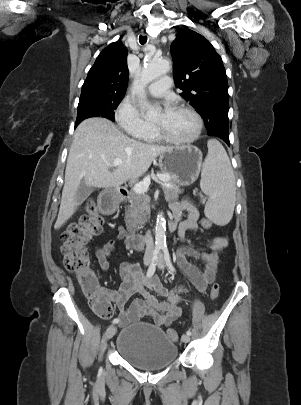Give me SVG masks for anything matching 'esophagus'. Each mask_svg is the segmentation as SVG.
<instances>
[{
  "label": "esophagus",
  "mask_w": 301,
  "mask_h": 405,
  "mask_svg": "<svg viewBox=\"0 0 301 405\" xmlns=\"http://www.w3.org/2000/svg\"><path fill=\"white\" fill-rule=\"evenodd\" d=\"M152 41H153V42H157L158 40H157V39H152Z\"/></svg>",
  "instance_id": "34e87169"
}]
</instances>
